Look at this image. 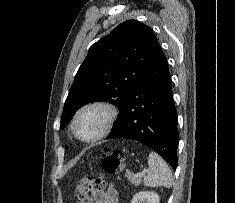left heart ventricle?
<instances>
[{"label":"left heart ventricle","instance_id":"left-heart-ventricle-1","mask_svg":"<svg viewBox=\"0 0 235 203\" xmlns=\"http://www.w3.org/2000/svg\"><path fill=\"white\" fill-rule=\"evenodd\" d=\"M105 120L106 113L102 109L86 110L77 120V132L82 138H92L102 130Z\"/></svg>","mask_w":235,"mask_h":203}]
</instances>
